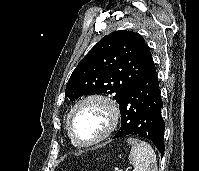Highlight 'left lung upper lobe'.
<instances>
[{
	"label": "left lung upper lobe",
	"mask_w": 199,
	"mask_h": 171,
	"mask_svg": "<svg viewBox=\"0 0 199 171\" xmlns=\"http://www.w3.org/2000/svg\"><path fill=\"white\" fill-rule=\"evenodd\" d=\"M152 64L150 49L140 34L126 30L112 32L78 63L65 96L74 101L82 95L112 94L120 104Z\"/></svg>",
	"instance_id": "left-lung-upper-lobe-1"
}]
</instances>
